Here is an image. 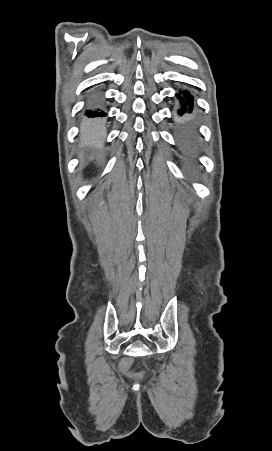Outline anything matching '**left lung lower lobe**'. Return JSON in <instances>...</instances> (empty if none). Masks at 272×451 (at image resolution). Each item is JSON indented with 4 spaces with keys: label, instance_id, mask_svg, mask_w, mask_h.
<instances>
[{
    "label": "left lung lower lobe",
    "instance_id": "left-lung-lower-lobe-1",
    "mask_svg": "<svg viewBox=\"0 0 272 451\" xmlns=\"http://www.w3.org/2000/svg\"><path fill=\"white\" fill-rule=\"evenodd\" d=\"M176 97L179 104L177 110L179 119L176 127L179 136L180 154L186 159H193L191 140L194 134V99L188 90H180Z\"/></svg>",
    "mask_w": 272,
    "mask_h": 451
}]
</instances>
